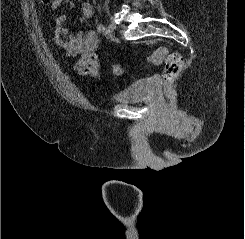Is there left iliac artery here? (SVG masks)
<instances>
[{"label":"left iliac artery","mask_w":245,"mask_h":239,"mask_svg":"<svg viewBox=\"0 0 245 239\" xmlns=\"http://www.w3.org/2000/svg\"><path fill=\"white\" fill-rule=\"evenodd\" d=\"M97 30H98L99 33H104V31H105V26H104V24H103L102 22H100V23L98 24Z\"/></svg>","instance_id":"left-iliac-artery-1"}]
</instances>
